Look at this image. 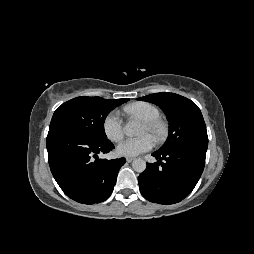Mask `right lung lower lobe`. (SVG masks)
I'll list each match as a JSON object with an SVG mask.
<instances>
[{"instance_id":"1","label":"right lung lower lobe","mask_w":254,"mask_h":254,"mask_svg":"<svg viewBox=\"0 0 254 254\" xmlns=\"http://www.w3.org/2000/svg\"><path fill=\"white\" fill-rule=\"evenodd\" d=\"M114 148L110 140H94L69 129L50 128L47 151L51 172L71 199L94 204L112 193L119 169L125 158L99 159V153Z\"/></svg>"}]
</instances>
